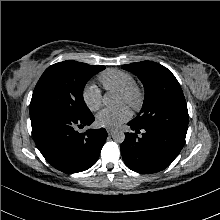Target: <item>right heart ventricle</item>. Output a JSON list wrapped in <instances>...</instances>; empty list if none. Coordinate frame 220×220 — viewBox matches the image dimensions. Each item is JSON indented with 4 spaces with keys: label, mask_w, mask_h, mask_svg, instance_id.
Masks as SVG:
<instances>
[{
    "label": "right heart ventricle",
    "mask_w": 220,
    "mask_h": 220,
    "mask_svg": "<svg viewBox=\"0 0 220 220\" xmlns=\"http://www.w3.org/2000/svg\"><path fill=\"white\" fill-rule=\"evenodd\" d=\"M98 79L107 91L119 92L134 83L132 74L121 69H107L99 75Z\"/></svg>",
    "instance_id": "1"
}]
</instances>
